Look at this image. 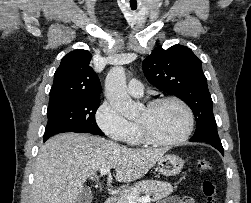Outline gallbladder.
Here are the masks:
<instances>
[{"instance_id":"obj_1","label":"gallbladder","mask_w":251,"mask_h":203,"mask_svg":"<svg viewBox=\"0 0 251 203\" xmlns=\"http://www.w3.org/2000/svg\"><path fill=\"white\" fill-rule=\"evenodd\" d=\"M92 198L91 190L86 188L79 194L77 203H91Z\"/></svg>"}]
</instances>
